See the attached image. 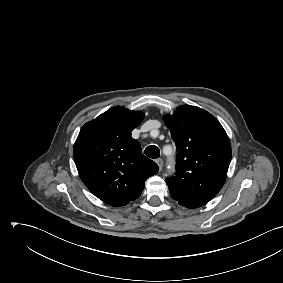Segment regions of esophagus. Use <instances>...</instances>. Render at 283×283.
<instances>
[{"mask_svg": "<svg viewBox=\"0 0 283 283\" xmlns=\"http://www.w3.org/2000/svg\"><path fill=\"white\" fill-rule=\"evenodd\" d=\"M156 163H157L159 169L161 170L162 167H163V160L161 158L156 159Z\"/></svg>", "mask_w": 283, "mask_h": 283, "instance_id": "obj_1", "label": "esophagus"}]
</instances>
